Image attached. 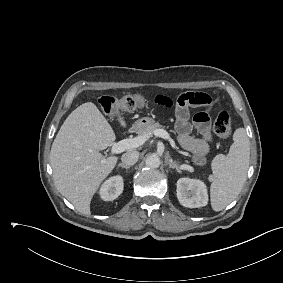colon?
Instances as JSON below:
<instances>
[{"instance_id": "1", "label": "colon", "mask_w": 283, "mask_h": 283, "mask_svg": "<svg viewBox=\"0 0 283 283\" xmlns=\"http://www.w3.org/2000/svg\"><path fill=\"white\" fill-rule=\"evenodd\" d=\"M100 104L106 113H117L119 111L133 112L143 107L145 98L141 94H129L119 99L103 97ZM215 134L221 138L229 136L231 131V118L227 111H221L213 125Z\"/></svg>"}]
</instances>
